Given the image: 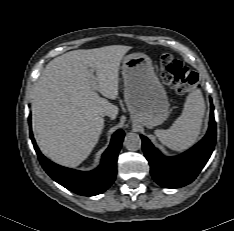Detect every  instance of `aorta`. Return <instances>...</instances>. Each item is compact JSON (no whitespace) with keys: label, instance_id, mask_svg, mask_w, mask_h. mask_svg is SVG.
Wrapping results in <instances>:
<instances>
[{"label":"aorta","instance_id":"762f6f07","mask_svg":"<svg viewBox=\"0 0 234 231\" xmlns=\"http://www.w3.org/2000/svg\"><path fill=\"white\" fill-rule=\"evenodd\" d=\"M141 138L136 133H128L124 138V146L127 150L136 151L141 148Z\"/></svg>","mask_w":234,"mask_h":231}]
</instances>
